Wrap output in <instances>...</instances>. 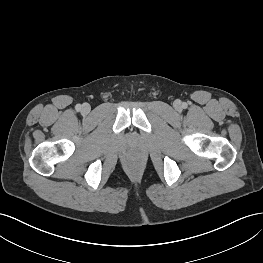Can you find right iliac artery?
Here are the masks:
<instances>
[{
  "label": "right iliac artery",
  "instance_id": "right-iliac-artery-1",
  "mask_svg": "<svg viewBox=\"0 0 263 263\" xmlns=\"http://www.w3.org/2000/svg\"><path fill=\"white\" fill-rule=\"evenodd\" d=\"M75 108H76L77 111H80L81 110V105L77 104Z\"/></svg>",
  "mask_w": 263,
  "mask_h": 263
}]
</instances>
